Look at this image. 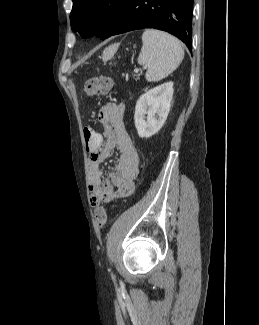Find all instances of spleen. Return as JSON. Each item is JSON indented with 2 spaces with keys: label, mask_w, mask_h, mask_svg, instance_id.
<instances>
[{
  "label": "spleen",
  "mask_w": 259,
  "mask_h": 325,
  "mask_svg": "<svg viewBox=\"0 0 259 325\" xmlns=\"http://www.w3.org/2000/svg\"><path fill=\"white\" fill-rule=\"evenodd\" d=\"M142 43L138 63L147 65L145 78L149 82H157L167 77L184 58V50L179 40L164 31L145 30Z\"/></svg>",
  "instance_id": "1"
}]
</instances>
